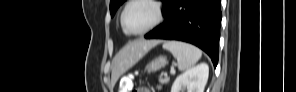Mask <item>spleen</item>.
<instances>
[{"mask_svg":"<svg viewBox=\"0 0 296 92\" xmlns=\"http://www.w3.org/2000/svg\"><path fill=\"white\" fill-rule=\"evenodd\" d=\"M163 48L170 51L177 59L178 68L181 71L194 66L202 56L200 49L180 41H166L163 44Z\"/></svg>","mask_w":296,"mask_h":92,"instance_id":"obj_1","label":"spleen"}]
</instances>
